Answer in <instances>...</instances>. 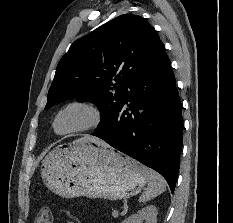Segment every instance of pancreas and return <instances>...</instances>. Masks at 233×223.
<instances>
[{"mask_svg":"<svg viewBox=\"0 0 233 223\" xmlns=\"http://www.w3.org/2000/svg\"><path fill=\"white\" fill-rule=\"evenodd\" d=\"M113 211H116V209H113ZM113 211H112V213H113Z\"/></svg>","mask_w":233,"mask_h":223,"instance_id":"pancreas-1","label":"pancreas"}]
</instances>
